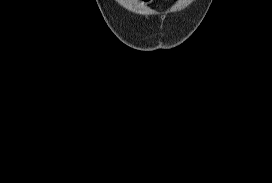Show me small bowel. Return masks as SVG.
<instances>
[{"label":"small bowel","mask_w":272,"mask_h":183,"mask_svg":"<svg viewBox=\"0 0 272 183\" xmlns=\"http://www.w3.org/2000/svg\"><path fill=\"white\" fill-rule=\"evenodd\" d=\"M144 2H150V0H144Z\"/></svg>","instance_id":"c3829d8e"}]
</instances>
